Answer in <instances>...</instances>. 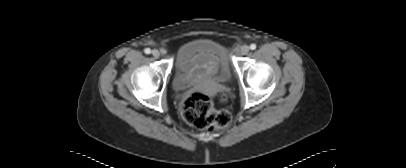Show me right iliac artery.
Masks as SVG:
<instances>
[{"instance_id": "1", "label": "right iliac artery", "mask_w": 406, "mask_h": 168, "mask_svg": "<svg viewBox=\"0 0 406 168\" xmlns=\"http://www.w3.org/2000/svg\"><path fill=\"white\" fill-rule=\"evenodd\" d=\"M144 52H145L146 54H150V53H151V50H150L149 48H146V49L144 50Z\"/></svg>"}]
</instances>
